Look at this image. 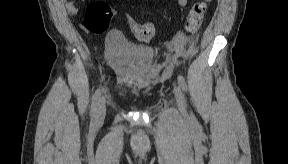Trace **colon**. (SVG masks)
I'll return each mask as SVG.
<instances>
[{"instance_id":"colon-1","label":"colon","mask_w":288,"mask_h":164,"mask_svg":"<svg viewBox=\"0 0 288 164\" xmlns=\"http://www.w3.org/2000/svg\"><path fill=\"white\" fill-rule=\"evenodd\" d=\"M207 4L205 1L195 3L186 17V29L190 34H195L200 28ZM114 17V10L104 0L92 1L84 17V26L87 30L101 34L105 32ZM129 30L141 41L147 42L152 39V22L140 23L133 18L127 21Z\"/></svg>"}]
</instances>
